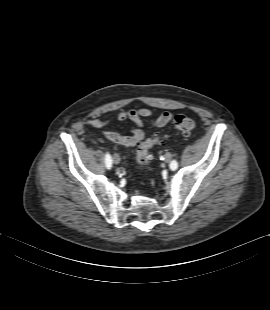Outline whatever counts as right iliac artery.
<instances>
[{"mask_svg":"<svg viewBox=\"0 0 270 310\" xmlns=\"http://www.w3.org/2000/svg\"><path fill=\"white\" fill-rule=\"evenodd\" d=\"M105 164L107 169H110L112 167V157L108 152L105 154Z\"/></svg>","mask_w":270,"mask_h":310,"instance_id":"right-iliac-artery-1","label":"right iliac artery"}]
</instances>
